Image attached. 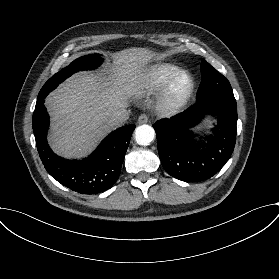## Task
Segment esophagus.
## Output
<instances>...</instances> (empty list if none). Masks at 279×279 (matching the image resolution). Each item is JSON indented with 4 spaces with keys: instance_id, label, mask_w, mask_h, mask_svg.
<instances>
[{
    "instance_id": "obj_1",
    "label": "esophagus",
    "mask_w": 279,
    "mask_h": 279,
    "mask_svg": "<svg viewBox=\"0 0 279 279\" xmlns=\"http://www.w3.org/2000/svg\"><path fill=\"white\" fill-rule=\"evenodd\" d=\"M138 122L140 124H144V123H147L148 122V115L146 114H141L138 118Z\"/></svg>"
}]
</instances>
